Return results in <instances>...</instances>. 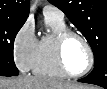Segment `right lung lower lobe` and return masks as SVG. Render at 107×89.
Here are the masks:
<instances>
[{
	"mask_svg": "<svg viewBox=\"0 0 107 89\" xmlns=\"http://www.w3.org/2000/svg\"><path fill=\"white\" fill-rule=\"evenodd\" d=\"M7 77H10V76H14V75H6Z\"/></svg>",
	"mask_w": 107,
	"mask_h": 89,
	"instance_id": "obj_1",
	"label": "right lung lower lobe"
}]
</instances>
